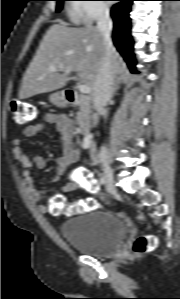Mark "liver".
<instances>
[{"label": "liver", "mask_w": 180, "mask_h": 299, "mask_svg": "<svg viewBox=\"0 0 180 299\" xmlns=\"http://www.w3.org/2000/svg\"><path fill=\"white\" fill-rule=\"evenodd\" d=\"M106 54V45L97 27H68L59 21L44 35L29 64L19 92L21 99L63 88L69 81L65 71L76 72L80 84L94 92L97 72ZM113 79L123 71V61L112 47ZM55 67L57 71L49 70Z\"/></svg>", "instance_id": "1"}]
</instances>
